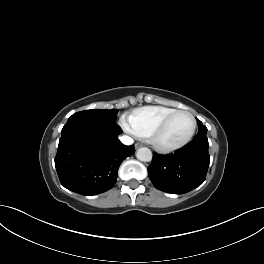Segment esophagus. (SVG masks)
<instances>
[{
	"instance_id": "esophagus-1",
	"label": "esophagus",
	"mask_w": 264,
	"mask_h": 264,
	"mask_svg": "<svg viewBox=\"0 0 264 264\" xmlns=\"http://www.w3.org/2000/svg\"><path fill=\"white\" fill-rule=\"evenodd\" d=\"M135 146H136V148H139L141 146V144L137 143Z\"/></svg>"
}]
</instances>
